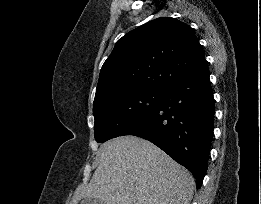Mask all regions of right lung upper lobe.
<instances>
[{
	"mask_svg": "<svg viewBox=\"0 0 261 204\" xmlns=\"http://www.w3.org/2000/svg\"><path fill=\"white\" fill-rule=\"evenodd\" d=\"M205 61L190 26L171 17L154 19L116 42L101 68L94 103L120 90L165 91Z\"/></svg>",
	"mask_w": 261,
	"mask_h": 204,
	"instance_id": "cb5924a9",
	"label": "right lung upper lobe"
}]
</instances>
